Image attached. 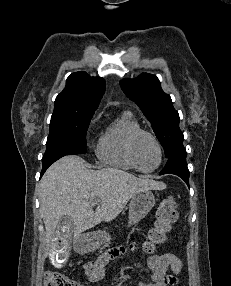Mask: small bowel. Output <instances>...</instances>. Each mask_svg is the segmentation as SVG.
I'll return each mask as SVG.
<instances>
[{
	"mask_svg": "<svg viewBox=\"0 0 231 286\" xmlns=\"http://www.w3.org/2000/svg\"><path fill=\"white\" fill-rule=\"evenodd\" d=\"M135 249V243L116 247L103 253L95 261L85 263L86 282L92 283L101 280L104 277V269L108 263ZM147 264L151 270V282H140L138 286H175L177 284L178 275L182 270V262L175 253L165 252L151 255ZM168 269L171 270L170 274L167 273Z\"/></svg>",
	"mask_w": 231,
	"mask_h": 286,
	"instance_id": "obj_1",
	"label": "small bowel"
}]
</instances>
